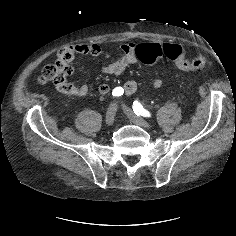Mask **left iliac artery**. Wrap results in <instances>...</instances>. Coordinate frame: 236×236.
<instances>
[{
    "label": "left iliac artery",
    "mask_w": 236,
    "mask_h": 236,
    "mask_svg": "<svg viewBox=\"0 0 236 236\" xmlns=\"http://www.w3.org/2000/svg\"><path fill=\"white\" fill-rule=\"evenodd\" d=\"M133 111L137 116L141 115L144 117H151L150 112L144 109L143 106L136 100L133 102Z\"/></svg>",
    "instance_id": "44dca946"
}]
</instances>
